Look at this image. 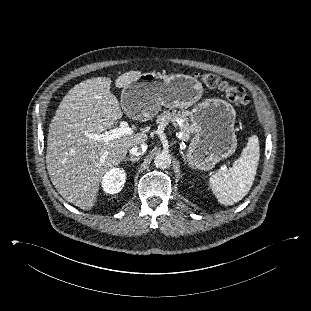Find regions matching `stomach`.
<instances>
[{
  "label": "stomach",
  "mask_w": 311,
  "mask_h": 311,
  "mask_svg": "<svg viewBox=\"0 0 311 311\" xmlns=\"http://www.w3.org/2000/svg\"><path fill=\"white\" fill-rule=\"evenodd\" d=\"M202 95V84L192 76L144 73L123 88L121 105L125 112L141 121L152 119L161 106L187 109L194 105L187 111L195 135L186 157L191 168L208 171L237 148L236 112L231 104L221 99L199 102Z\"/></svg>",
  "instance_id": "stomach-1"
}]
</instances>
